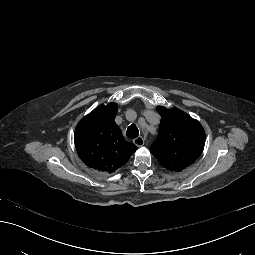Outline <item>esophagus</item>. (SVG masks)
Wrapping results in <instances>:
<instances>
[{
    "mask_svg": "<svg viewBox=\"0 0 255 255\" xmlns=\"http://www.w3.org/2000/svg\"><path fill=\"white\" fill-rule=\"evenodd\" d=\"M134 144L138 147H141L144 145V139L139 136V137H136L134 140H133Z\"/></svg>",
    "mask_w": 255,
    "mask_h": 255,
    "instance_id": "1",
    "label": "esophagus"
}]
</instances>
